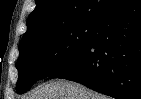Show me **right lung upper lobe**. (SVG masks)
I'll list each match as a JSON object with an SVG mask.
<instances>
[{
  "label": "right lung upper lobe",
  "instance_id": "obj_1",
  "mask_svg": "<svg viewBox=\"0 0 141 99\" xmlns=\"http://www.w3.org/2000/svg\"><path fill=\"white\" fill-rule=\"evenodd\" d=\"M125 0H36L20 43L81 21H99Z\"/></svg>",
  "mask_w": 141,
  "mask_h": 99
}]
</instances>
